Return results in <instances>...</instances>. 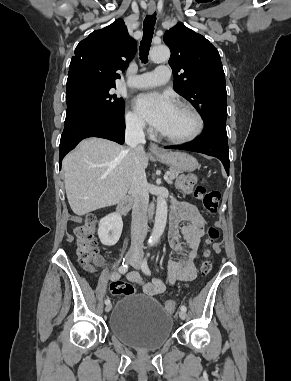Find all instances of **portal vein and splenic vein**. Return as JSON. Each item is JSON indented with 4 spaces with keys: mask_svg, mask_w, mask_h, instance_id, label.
Instances as JSON below:
<instances>
[{
    "mask_svg": "<svg viewBox=\"0 0 291 381\" xmlns=\"http://www.w3.org/2000/svg\"><path fill=\"white\" fill-rule=\"evenodd\" d=\"M164 179H165V180L168 179V174H165V175H164Z\"/></svg>",
    "mask_w": 291,
    "mask_h": 381,
    "instance_id": "18ae733b",
    "label": "portal vein and splenic vein"
}]
</instances>
